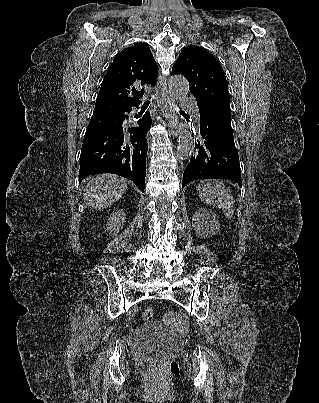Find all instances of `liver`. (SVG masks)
Here are the masks:
<instances>
[{
  "label": "liver",
  "mask_w": 319,
  "mask_h": 403,
  "mask_svg": "<svg viewBox=\"0 0 319 403\" xmlns=\"http://www.w3.org/2000/svg\"><path fill=\"white\" fill-rule=\"evenodd\" d=\"M127 190V181L111 174L89 178L84 187L83 198L86 206L103 210L119 200Z\"/></svg>",
  "instance_id": "6515ba94"
}]
</instances>
